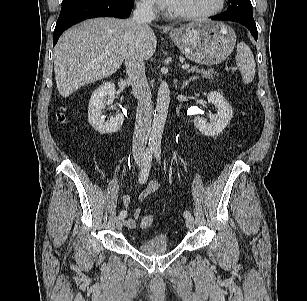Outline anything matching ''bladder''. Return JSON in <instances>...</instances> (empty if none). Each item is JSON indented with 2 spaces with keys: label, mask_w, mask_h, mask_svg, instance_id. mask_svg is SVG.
Here are the masks:
<instances>
[{
  "label": "bladder",
  "mask_w": 307,
  "mask_h": 301,
  "mask_svg": "<svg viewBox=\"0 0 307 301\" xmlns=\"http://www.w3.org/2000/svg\"><path fill=\"white\" fill-rule=\"evenodd\" d=\"M138 250L146 255L155 256L167 252L170 248L166 235L160 234L138 243Z\"/></svg>",
  "instance_id": "1"
}]
</instances>
